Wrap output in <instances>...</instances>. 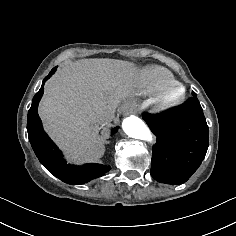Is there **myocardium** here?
Listing matches in <instances>:
<instances>
[{"label": "myocardium", "instance_id": "1", "mask_svg": "<svg viewBox=\"0 0 236 236\" xmlns=\"http://www.w3.org/2000/svg\"><path fill=\"white\" fill-rule=\"evenodd\" d=\"M186 97L185 88L176 83L164 88L157 96V106L161 111L171 110L180 105Z\"/></svg>", "mask_w": 236, "mask_h": 236}]
</instances>
